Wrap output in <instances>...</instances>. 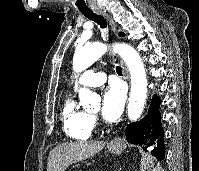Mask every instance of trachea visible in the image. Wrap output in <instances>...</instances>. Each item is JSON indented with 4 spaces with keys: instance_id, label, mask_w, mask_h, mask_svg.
<instances>
[{
    "instance_id": "obj_1",
    "label": "trachea",
    "mask_w": 199,
    "mask_h": 171,
    "mask_svg": "<svg viewBox=\"0 0 199 171\" xmlns=\"http://www.w3.org/2000/svg\"><path fill=\"white\" fill-rule=\"evenodd\" d=\"M82 14L86 18L96 22L98 25H100V27L102 29H106L107 22H106V19L102 15H98V14H96L94 12H82ZM116 72H117L118 75H122V68L120 66H117L116 67Z\"/></svg>"
}]
</instances>
